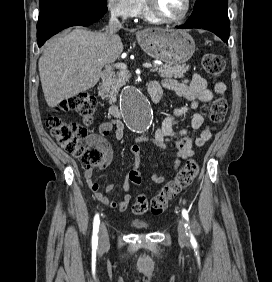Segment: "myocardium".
Returning a JSON list of instances; mask_svg holds the SVG:
<instances>
[{"mask_svg":"<svg viewBox=\"0 0 272 282\" xmlns=\"http://www.w3.org/2000/svg\"><path fill=\"white\" fill-rule=\"evenodd\" d=\"M145 9L147 14L152 16L154 19L166 23H179L188 17L191 11V0H185V10L180 16L177 17L165 16L161 11L158 10L153 0H145Z\"/></svg>","mask_w":272,"mask_h":282,"instance_id":"f54148a6","label":"myocardium"}]
</instances>
